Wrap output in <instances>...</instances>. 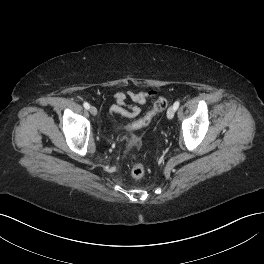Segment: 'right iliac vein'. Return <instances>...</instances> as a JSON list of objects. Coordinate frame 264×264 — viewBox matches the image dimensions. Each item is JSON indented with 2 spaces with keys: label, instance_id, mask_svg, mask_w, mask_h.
Instances as JSON below:
<instances>
[{
  "label": "right iliac vein",
  "instance_id": "obj_1",
  "mask_svg": "<svg viewBox=\"0 0 264 264\" xmlns=\"http://www.w3.org/2000/svg\"><path fill=\"white\" fill-rule=\"evenodd\" d=\"M90 113L93 115V116H96L97 115V109L95 106H91L90 107Z\"/></svg>",
  "mask_w": 264,
  "mask_h": 264
}]
</instances>
